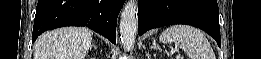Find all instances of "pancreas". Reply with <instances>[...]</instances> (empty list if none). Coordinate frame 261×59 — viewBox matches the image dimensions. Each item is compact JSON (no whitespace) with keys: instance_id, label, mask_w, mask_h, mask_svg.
Segmentation results:
<instances>
[{"instance_id":"cf45deb5","label":"pancreas","mask_w":261,"mask_h":59,"mask_svg":"<svg viewBox=\"0 0 261 59\" xmlns=\"http://www.w3.org/2000/svg\"><path fill=\"white\" fill-rule=\"evenodd\" d=\"M179 58H180V57H178V56L176 57V59H179Z\"/></svg>"}]
</instances>
